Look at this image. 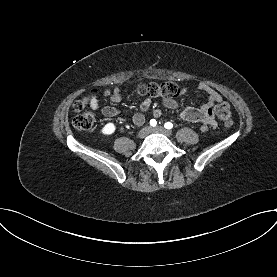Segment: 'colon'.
I'll return each mask as SVG.
<instances>
[{"label":"colon","mask_w":277,"mask_h":277,"mask_svg":"<svg viewBox=\"0 0 277 277\" xmlns=\"http://www.w3.org/2000/svg\"><path fill=\"white\" fill-rule=\"evenodd\" d=\"M138 92L141 95L154 98H174L179 95L180 90L178 86L173 82H151L141 85L138 88ZM89 98H83L78 100L74 104V110L78 112L73 119V126L80 131L89 130L95 122L96 116L91 111H86ZM215 113L222 121L224 126L231 127L233 124L232 114L230 106L226 102H222L215 107Z\"/></svg>","instance_id":"1"}]
</instances>
